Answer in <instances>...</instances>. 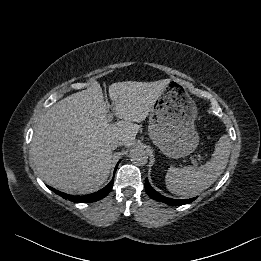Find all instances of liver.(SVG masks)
Instances as JSON below:
<instances>
[{
    "label": "liver",
    "mask_w": 261,
    "mask_h": 261,
    "mask_svg": "<svg viewBox=\"0 0 261 261\" xmlns=\"http://www.w3.org/2000/svg\"><path fill=\"white\" fill-rule=\"evenodd\" d=\"M168 80L123 81L109 86L111 110L122 119L107 121L108 105L97 81L54 104L40 119L31 154L41 178L70 194L96 192L106 182L112 141L130 147Z\"/></svg>",
    "instance_id": "liver-1"
}]
</instances>
